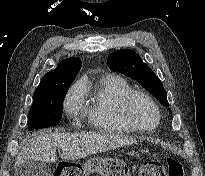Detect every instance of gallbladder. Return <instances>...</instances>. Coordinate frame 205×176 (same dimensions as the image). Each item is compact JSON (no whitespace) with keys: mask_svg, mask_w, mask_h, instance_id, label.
<instances>
[{"mask_svg":"<svg viewBox=\"0 0 205 176\" xmlns=\"http://www.w3.org/2000/svg\"><path fill=\"white\" fill-rule=\"evenodd\" d=\"M51 167L40 161H28L16 170V176H51Z\"/></svg>","mask_w":205,"mask_h":176,"instance_id":"1","label":"gallbladder"}]
</instances>
